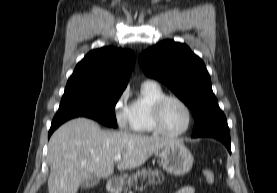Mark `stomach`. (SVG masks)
I'll return each instance as SVG.
<instances>
[{"label":"stomach","instance_id":"1","mask_svg":"<svg viewBox=\"0 0 277 193\" xmlns=\"http://www.w3.org/2000/svg\"><path fill=\"white\" fill-rule=\"evenodd\" d=\"M159 156L163 169L174 176H182L188 173L194 162V158L188 148L182 142H175L161 149ZM122 186V180H118L116 188Z\"/></svg>","mask_w":277,"mask_h":193}]
</instances>
